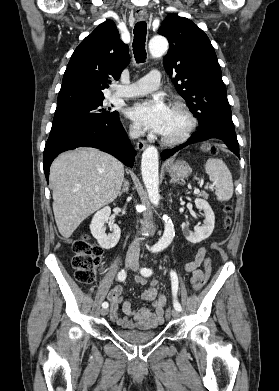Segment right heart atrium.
I'll use <instances>...</instances> for the list:
<instances>
[{"instance_id":"1","label":"right heart atrium","mask_w":279,"mask_h":391,"mask_svg":"<svg viewBox=\"0 0 279 391\" xmlns=\"http://www.w3.org/2000/svg\"><path fill=\"white\" fill-rule=\"evenodd\" d=\"M129 133L132 135V136H136L138 133H139V128L138 126L134 125V124H131L129 126Z\"/></svg>"}]
</instances>
